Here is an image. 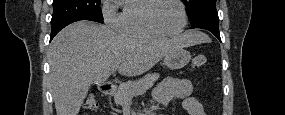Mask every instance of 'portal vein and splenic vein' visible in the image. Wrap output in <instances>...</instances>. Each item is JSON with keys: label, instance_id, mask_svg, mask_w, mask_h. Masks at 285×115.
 <instances>
[{"label": "portal vein and splenic vein", "instance_id": "obj_1", "mask_svg": "<svg viewBox=\"0 0 285 115\" xmlns=\"http://www.w3.org/2000/svg\"><path fill=\"white\" fill-rule=\"evenodd\" d=\"M147 89L145 88V87H143V88H140L139 90H138V93L140 92H145Z\"/></svg>", "mask_w": 285, "mask_h": 115}]
</instances>
